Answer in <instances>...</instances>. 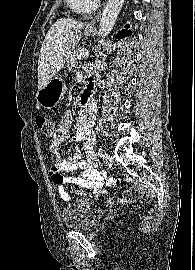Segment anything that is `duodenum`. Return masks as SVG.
<instances>
[{"label": "duodenum", "mask_w": 195, "mask_h": 270, "mask_svg": "<svg viewBox=\"0 0 195 270\" xmlns=\"http://www.w3.org/2000/svg\"><path fill=\"white\" fill-rule=\"evenodd\" d=\"M93 90H94V80L93 78H89L81 94L80 103L82 104V106L84 107L90 106L93 96Z\"/></svg>", "instance_id": "duodenum-1"}]
</instances>
